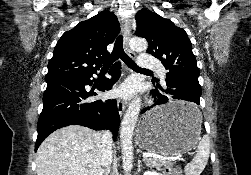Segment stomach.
<instances>
[{
	"label": "stomach",
	"mask_w": 251,
	"mask_h": 175,
	"mask_svg": "<svg viewBox=\"0 0 251 175\" xmlns=\"http://www.w3.org/2000/svg\"><path fill=\"white\" fill-rule=\"evenodd\" d=\"M192 100H168L142 115L136 129L138 145L150 154L181 155L200 139V114Z\"/></svg>",
	"instance_id": "1"
}]
</instances>
